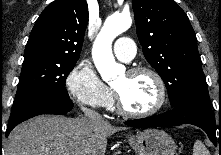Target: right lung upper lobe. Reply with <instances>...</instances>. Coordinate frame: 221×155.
I'll list each match as a JSON object with an SVG mask.
<instances>
[{"instance_id":"obj_1","label":"right lung upper lobe","mask_w":221,"mask_h":155,"mask_svg":"<svg viewBox=\"0 0 221 155\" xmlns=\"http://www.w3.org/2000/svg\"><path fill=\"white\" fill-rule=\"evenodd\" d=\"M87 23L86 0H56L50 3L31 31L24 57L78 60Z\"/></svg>"}]
</instances>
